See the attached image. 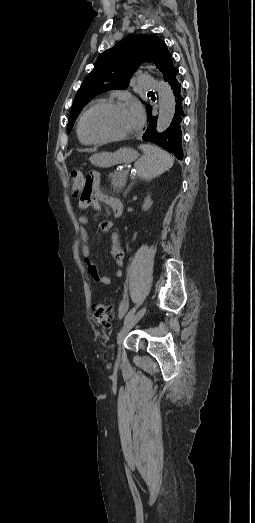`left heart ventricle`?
Wrapping results in <instances>:
<instances>
[{
  "label": "left heart ventricle",
  "mask_w": 255,
  "mask_h": 523,
  "mask_svg": "<svg viewBox=\"0 0 255 523\" xmlns=\"http://www.w3.org/2000/svg\"><path fill=\"white\" fill-rule=\"evenodd\" d=\"M138 122L132 104L104 106L92 110L86 116L83 130L89 138H109L134 131Z\"/></svg>",
  "instance_id": "b2bd125f"
}]
</instances>
